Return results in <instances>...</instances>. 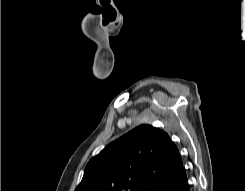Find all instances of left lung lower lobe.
I'll list each match as a JSON object with an SVG mask.
<instances>
[{
	"label": "left lung lower lobe",
	"mask_w": 245,
	"mask_h": 191,
	"mask_svg": "<svg viewBox=\"0 0 245 191\" xmlns=\"http://www.w3.org/2000/svg\"><path fill=\"white\" fill-rule=\"evenodd\" d=\"M154 191H189L188 177L181 158Z\"/></svg>",
	"instance_id": "obj_1"
}]
</instances>
